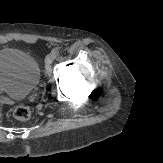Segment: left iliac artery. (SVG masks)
I'll return each instance as SVG.
<instances>
[{"mask_svg": "<svg viewBox=\"0 0 163 163\" xmlns=\"http://www.w3.org/2000/svg\"><path fill=\"white\" fill-rule=\"evenodd\" d=\"M52 52H54L57 55L59 53V49L56 47L52 50Z\"/></svg>", "mask_w": 163, "mask_h": 163, "instance_id": "obj_1", "label": "left iliac artery"}]
</instances>
